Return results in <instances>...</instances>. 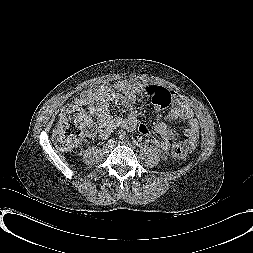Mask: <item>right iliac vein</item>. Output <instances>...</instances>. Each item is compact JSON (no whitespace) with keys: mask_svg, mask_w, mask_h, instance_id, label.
I'll use <instances>...</instances> for the list:
<instances>
[{"mask_svg":"<svg viewBox=\"0 0 253 253\" xmlns=\"http://www.w3.org/2000/svg\"><path fill=\"white\" fill-rule=\"evenodd\" d=\"M112 146H113L112 144L105 145V146L103 147V152H104V153H109V151L111 150Z\"/></svg>","mask_w":253,"mask_h":253,"instance_id":"1","label":"right iliac vein"}]
</instances>
